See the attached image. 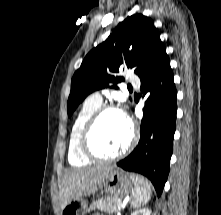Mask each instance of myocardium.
<instances>
[{
	"mask_svg": "<svg viewBox=\"0 0 221 215\" xmlns=\"http://www.w3.org/2000/svg\"><path fill=\"white\" fill-rule=\"evenodd\" d=\"M108 112H117L119 114H121L124 119L126 120L129 129H130V138L129 141L127 143V145L125 146L124 149H122L120 152L114 154V155H102L100 153H98L91 144V136L93 133V130L96 126V124L98 123V121L100 120V118ZM137 141V130L135 125L133 124V122L131 120H129L124 114L123 112L117 108L114 105L111 104H104V105H100L92 114L91 116L88 118V120L86 121L81 134H80V139H79V145H80V149L82 151V153L89 158L90 160H95V161H114V160H118L123 158L124 156H126L135 146Z\"/></svg>",
	"mask_w": 221,
	"mask_h": 215,
	"instance_id": "f54148a6",
	"label": "myocardium"
}]
</instances>
